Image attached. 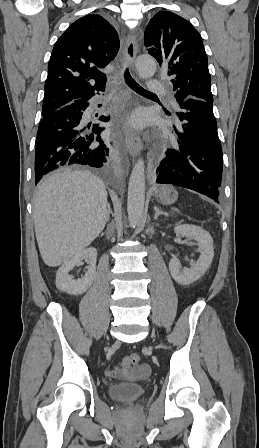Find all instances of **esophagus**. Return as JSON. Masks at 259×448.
I'll return each instance as SVG.
<instances>
[{
	"label": "esophagus",
	"mask_w": 259,
	"mask_h": 448,
	"mask_svg": "<svg viewBox=\"0 0 259 448\" xmlns=\"http://www.w3.org/2000/svg\"><path fill=\"white\" fill-rule=\"evenodd\" d=\"M138 43L136 35H130L127 37L124 48V57H123V65H128L133 69L134 61L137 55ZM126 145L129 149V153L131 156H137L141 149V140L138 135L134 133L133 130L128 128L126 130Z\"/></svg>",
	"instance_id": "34e87169"
}]
</instances>
